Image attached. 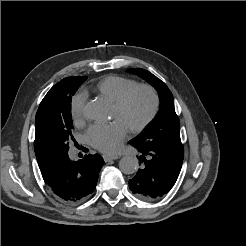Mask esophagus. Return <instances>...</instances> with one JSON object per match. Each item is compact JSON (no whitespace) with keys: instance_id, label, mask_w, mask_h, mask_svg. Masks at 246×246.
I'll return each instance as SVG.
<instances>
[{"instance_id":"obj_1","label":"esophagus","mask_w":246,"mask_h":246,"mask_svg":"<svg viewBox=\"0 0 246 246\" xmlns=\"http://www.w3.org/2000/svg\"><path fill=\"white\" fill-rule=\"evenodd\" d=\"M120 158L118 155H103V159L105 162H109L111 160H116Z\"/></svg>"}]
</instances>
